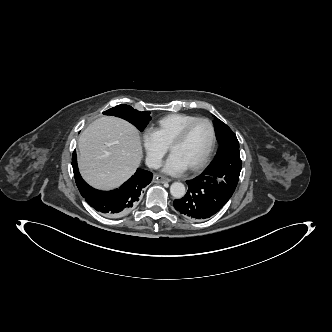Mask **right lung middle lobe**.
<instances>
[{"label":"right lung middle lobe","mask_w":332,"mask_h":332,"mask_svg":"<svg viewBox=\"0 0 332 332\" xmlns=\"http://www.w3.org/2000/svg\"><path fill=\"white\" fill-rule=\"evenodd\" d=\"M105 115H114L123 118L133 125H135L140 131H143L151 119L150 113L147 111L140 112L133 109L129 105H117L107 111L103 112Z\"/></svg>","instance_id":"right-lung-middle-lobe-1"}]
</instances>
